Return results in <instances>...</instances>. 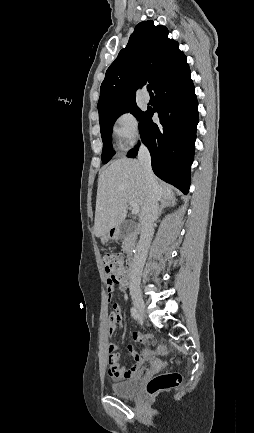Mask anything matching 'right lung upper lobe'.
I'll use <instances>...</instances> for the list:
<instances>
[{
	"label": "right lung upper lobe",
	"instance_id": "right-lung-upper-lobe-1",
	"mask_svg": "<svg viewBox=\"0 0 254 433\" xmlns=\"http://www.w3.org/2000/svg\"><path fill=\"white\" fill-rule=\"evenodd\" d=\"M168 33L165 26H155L151 20L135 27L127 46L106 71L100 87L99 115L136 102V91L146 82L156 90L186 58Z\"/></svg>",
	"mask_w": 254,
	"mask_h": 433
}]
</instances>
